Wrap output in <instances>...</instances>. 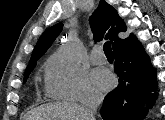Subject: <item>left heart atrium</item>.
Returning a JSON list of instances; mask_svg holds the SVG:
<instances>
[{"label":"left heart atrium","instance_id":"39dd6f15","mask_svg":"<svg viewBox=\"0 0 165 120\" xmlns=\"http://www.w3.org/2000/svg\"><path fill=\"white\" fill-rule=\"evenodd\" d=\"M92 78L97 87L102 90H108L114 85L113 75L104 68H98L93 71Z\"/></svg>","mask_w":165,"mask_h":120}]
</instances>
